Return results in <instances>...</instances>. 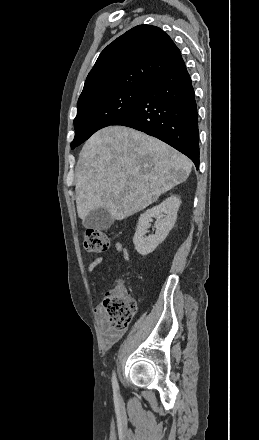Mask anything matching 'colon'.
Instances as JSON below:
<instances>
[{
	"label": "colon",
	"mask_w": 259,
	"mask_h": 440,
	"mask_svg": "<svg viewBox=\"0 0 259 440\" xmlns=\"http://www.w3.org/2000/svg\"><path fill=\"white\" fill-rule=\"evenodd\" d=\"M83 245L88 252L100 253L108 251L111 242L104 232L86 229L83 234ZM102 305L109 324L118 330L127 328L136 312L135 301L127 294L121 283L105 293Z\"/></svg>",
	"instance_id": "5ec220e1"
}]
</instances>
